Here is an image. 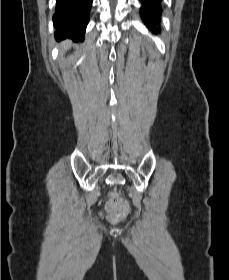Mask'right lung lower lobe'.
<instances>
[{
  "instance_id": "1",
  "label": "right lung lower lobe",
  "mask_w": 229,
  "mask_h": 280,
  "mask_svg": "<svg viewBox=\"0 0 229 280\" xmlns=\"http://www.w3.org/2000/svg\"><path fill=\"white\" fill-rule=\"evenodd\" d=\"M92 0H56L53 24L57 40L83 41Z\"/></svg>"
}]
</instances>
